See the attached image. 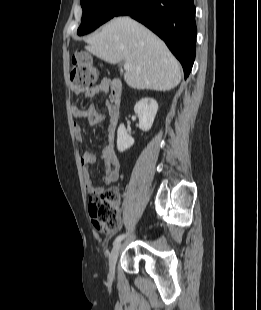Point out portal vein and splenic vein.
<instances>
[{
  "mask_svg": "<svg viewBox=\"0 0 261 310\" xmlns=\"http://www.w3.org/2000/svg\"><path fill=\"white\" fill-rule=\"evenodd\" d=\"M130 68H131V65H130V64H128V63H125V64H124V70H125V71L129 70Z\"/></svg>",
  "mask_w": 261,
  "mask_h": 310,
  "instance_id": "obj_1",
  "label": "portal vein and splenic vein"
}]
</instances>
